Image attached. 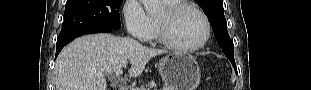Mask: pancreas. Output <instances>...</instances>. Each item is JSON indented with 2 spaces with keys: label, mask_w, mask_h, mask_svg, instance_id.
Wrapping results in <instances>:
<instances>
[{
  "label": "pancreas",
  "mask_w": 311,
  "mask_h": 90,
  "mask_svg": "<svg viewBox=\"0 0 311 90\" xmlns=\"http://www.w3.org/2000/svg\"><path fill=\"white\" fill-rule=\"evenodd\" d=\"M141 90L143 89L144 90V88H140ZM130 90H133V89H130ZM163 90H171V88H168L167 86L165 87V88H163Z\"/></svg>",
  "instance_id": "1"
}]
</instances>
